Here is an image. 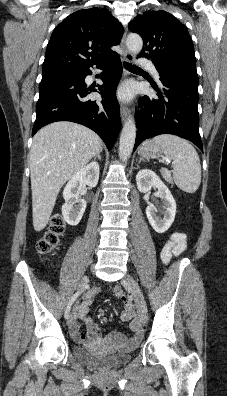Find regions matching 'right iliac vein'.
I'll list each match as a JSON object with an SVG mask.
<instances>
[{
    "mask_svg": "<svg viewBox=\"0 0 227 396\" xmlns=\"http://www.w3.org/2000/svg\"><path fill=\"white\" fill-rule=\"evenodd\" d=\"M88 282H89L88 277L84 276L79 282V286H78L79 290L83 291L86 288ZM77 309H78L77 306H75L74 309L72 310V313H71V315L69 317V320H68V325L69 326L73 323V321L76 318Z\"/></svg>",
    "mask_w": 227,
    "mask_h": 396,
    "instance_id": "right-iliac-vein-1",
    "label": "right iliac vein"
}]
</instances>
